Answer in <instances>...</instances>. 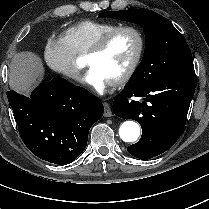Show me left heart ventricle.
I'll use <instances>...</instances> for the list:
<instances>
[{
  "label": "left heart ventricle",
  "instance_id": "b2bd125f",
  "mask_svg": "<svg viewBox=\"0 0 209 209\" xmlns=\"http://www.w3.org/2000/svg\"><path fill=\"white\" fill-rule=\"evenodd\" d=\"M138 48L134 33L122 31L113 36L99 55L85 58L88 66L97 67L112 82L121 77L132 62Z\"/></svg>",
  "mask_w": 209,
  "mask_h": 209
}]
</instances>
